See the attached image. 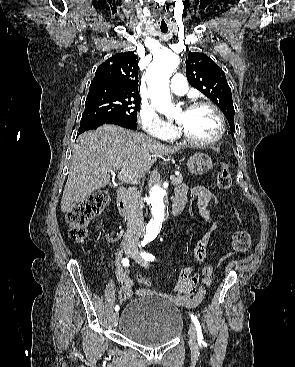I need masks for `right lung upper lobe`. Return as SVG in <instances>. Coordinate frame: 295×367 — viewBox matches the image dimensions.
Here are the masks:
<instances>
[{"label": "right lung upper lobe", "instance_id": "right-lung-upper-lobe-1", "mask_svg": "<svg viewBox=\"0 0 295 367\" xmlns=\"http://www.w3.org/2000/svg\"><path fill=\"white\" fill-rule=\"evenodd\" d=\"M138 57L133 52L118 53L96 70L89 91H103L118 95L139 96Z\"/></svg>", "mask_w": 295, "mask_h": 367}]
</instances>
